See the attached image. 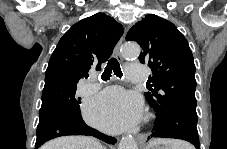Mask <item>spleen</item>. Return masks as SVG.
Here are the masks:
<instances>
[{
    "mask_svg": "<svg viewBox=\"0 0 227 149\" xmlns=\"http://www.w3.org/2000/svg\"><path fill=\"white\" fill-rule=\"evenodd\" d=\"M162 145L165 149H192V147L183 141L170 139H154L150 142V147Z\"/></svg>",
    "mask_w": 227,
    "mask_h": 149,
    "instance_id": "spleen-1",
    "label": "spleen"
}]
</instances>
